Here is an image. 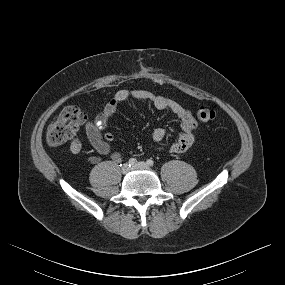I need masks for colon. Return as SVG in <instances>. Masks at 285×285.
<instances>
[{
    "label": "colon",
    "instance_id": "1",
    "mask_svg": "<svg viewBox=\"0 0 285 285\" xmlns=\"http://www.w3.org/2000/svg\"><path fill=\"white\" fill-rule=\"evenodd\" d=\"M200 122H209L217 117V112L207 106H200L196 112ZM86 115L75 105L65 106L46 131V140L51 146H60L75 137L85 123Z\"/></svg>",
    "mask_w": 285,
    "mask_h": 285
}]
</instances>
